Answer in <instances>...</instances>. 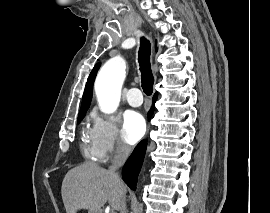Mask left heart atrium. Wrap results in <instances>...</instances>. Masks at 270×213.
I'll list each match as a JSON object with an SVG mask.
<instances>
[{
    "label": "left heart atrium",
    "mask_w": 270,
    "mask_h": 213,
    "mask_svg": "<svg viewBox=\"0 0 270 213\" xmlns=\"http://www.w3.org/2000/svg\"><path fill=\"white\" fill-rule=\"evenodd\" d=\"M145 131V120L140 113L131 111L124 116L121 136L125 143L135 144L143 137Z\"/></svg>",
    "instance_id": "obj_1"
}]
</instances>
